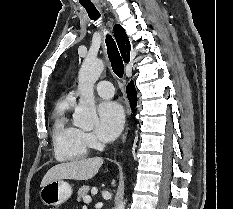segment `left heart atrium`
Segmentation results:
<instances>
[{"label":"left heart atrium","instance_id":"obj_1","mask_svg":"<svg viewBox=\"0 0 233 209\" xmlns=\"http://www.w3.org/2000/svg\"><path fill=\"white\" fill-rule=\"evenodd\" d=\"M124 124V112L119 103L104 101L98 107L96 133L100 139L111 141L116 138Z\"/></svg>","mask_w":233,"mask_h":209}]
</instances>
